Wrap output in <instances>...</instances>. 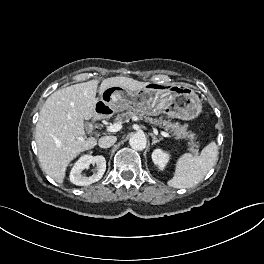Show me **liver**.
I'll return each instance as SVG.
<instances>
[{"label":"liver","mask_w":264,"mask_h":264,"mask_svg":"<svg viewBox=\"0 0 264 264\" xmlns=\"http://www.w3.org/2000/svg\"><path fill=\"white\" fill-rule=\"evenodd\" d=\"M98 80L71 85L51 94L44 103L36 126V143L42 170L57 183L64 182L68 164L80 153L96 146L94 137H85L84 119L95 115ZM149 83L127 77L104 79L99 95L111 86L131 92Z\"/></svg>","instance_id":"6515ba94"}]
</instances>
